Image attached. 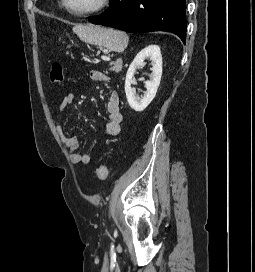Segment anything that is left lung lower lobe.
<instances>
[{"instance_id": "obj_1", "label": "left lung lower lobe", "mask_w": 255, "mask_h": 272, "mask_svg": "<svg viewBox=\"0 0 255 272\" xmlns=\"http://www.w3.org/2000/svg\"><path fill=\"white\" fill-rule=\"evenodd\" d=\"M185 11V0H111L105 13L89 21L129 33L168 31L185 43Z\"/></svg>"}]
</instances>
